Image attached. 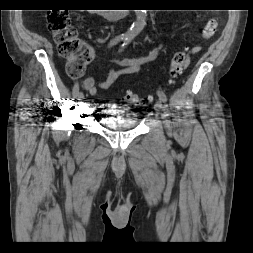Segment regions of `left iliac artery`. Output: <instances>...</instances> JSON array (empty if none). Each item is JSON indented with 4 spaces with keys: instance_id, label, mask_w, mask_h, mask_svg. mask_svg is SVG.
Wrapping results in <instances>:
<instances>
[{
    "instance_id": "1",
    "label": "left iliac artery",
    "mask_w": 253,
    "mask_h": 253,
    "mask_svg": "<svg viewBox=\"0 0 253 253\" xmlns=\"http://www.w3.org/2000/svg\"><path fill=\"white\" fill-rule=\"evenodd\" d=\"M124 45H125V44H123V46H124ZM157 95H158L159 99H160L162 102H166V101H167V97H166V95H165V93H164L163 91L158 90V91H157Z\"/></svg>"
}]
</instances>
